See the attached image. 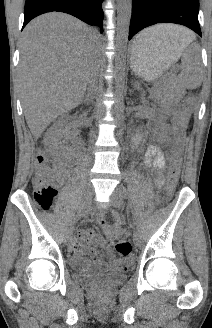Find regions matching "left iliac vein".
<instances>
[{
    "mask_svg": "<svg viewBox=\"0 0 212 328\" xmlns=\"http://www.w3.org/2000/svg\"><path fill=\"white\" fill-rule=\"evenodd\" d=\"M112 204L117 208H122L123 206V196L119 188L115 189L112 194ZM133 241L136 246H140L142 243V237L138 230H134Z\"/></svg>",
    "mask_w": 212,
    "mask_h": 328,
    "instance_id": "1",
    "label": "left iliac vein"
}]
</instances>
